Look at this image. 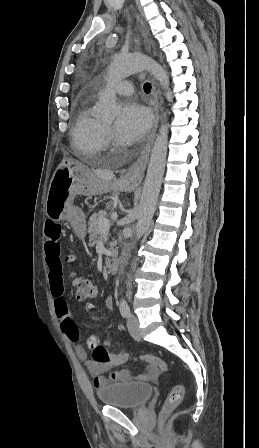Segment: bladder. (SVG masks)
Returning <instances> with one entry per match:
<instances>
[{
	"mask_svg": "<svg viewBox=\"0 0 259 448\" xmlns=\"http://www.w3.org/2000/svg\"><path fill=\"white\" fill-rule=\"evenodd\" d=\"M154 387L149 383H116L99 390L97 397L104 405L119 408H138L152 396Z\"/></svg>",
	"mask_w": 259,
	"mask_h": 448,
	"instance_id": "bladder-1",
	"label": "bladder"
}]
</instances>
